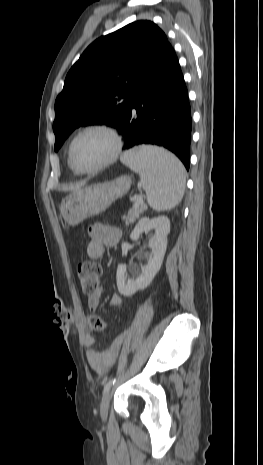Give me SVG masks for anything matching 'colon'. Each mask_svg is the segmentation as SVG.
<instances>
[{
  "label": "colon",
  "instance_id": "obj_1",
  "mask_svg": "<svg viewBox=\"0 0 263 465\" xmlns=\"http://www.w3.org/2000/svg\"><path fill=\"white\" fill-rule=\"evenodd\" d=\"M102 270L100 266L91 261H83L78 266L77 276L83 292L92 295L98 291ZM87 325L93 331H104L108 324L98 315L91 314L87 318Z\"/></svg>",
  "mask_w": 263,
  "mask_h": 465
}]
</instances>
